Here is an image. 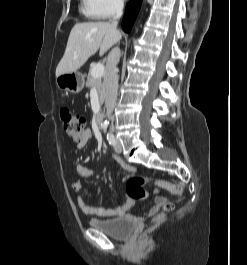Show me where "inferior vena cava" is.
<instances>
[{
    "label": "inferior vena cava",
    "mask_w": 247,
    "mask_h": 265,
    "mask_svg": "<svg viewBox=\"0 0 247 265\" xmlns=\"http://www.w3.org/2000/svg\"><path fill=\"white\" fill-rule=\"evenodd\" d=\"M123 0H115L116 15L111 21V25L117 28L118 19L123 14ZM120 59V49L114 47L108 55L107 74H106V92H105V106L107 110V117L111 120L113 129L114 116H112L113 109L116 105L117 91H118V74L116 65Z\"/></svg>",
    "instance_id": "obj_1"
}]
</instances>
